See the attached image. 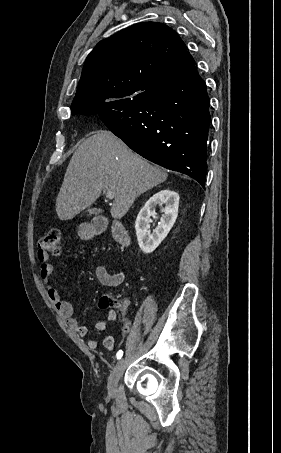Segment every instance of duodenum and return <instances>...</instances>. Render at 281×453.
Returning <instances> with one entry per match:
<instances>
[{
    "mask_svg": "<svg viewBox=\"0 0 281 453\" xmlns=\"http://www.w3.org/2000/svg\"><path fill=\"white\" fill-rule=\"evenodd\" d=\"M105 229V224L101 221L97 222L93 227V232L95 234L101 233ZM112 233L115 239L121 244L128 243V235L122 225L115 223L112 226Z\"/></svg>",
    "mask_w": 281,
    "mask_h": 453,
    "instance_id": "410a0bca",
    "label": "duodenum"
}]
</instances>
